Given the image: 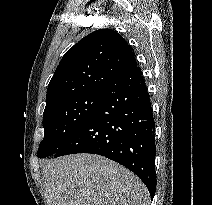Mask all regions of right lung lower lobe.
I'll return each mask as SVG.
<instances>
[{
    "label": "right lung lower lobe",
    "instance_id": "98d812e1",
    "mask_svg": "<svg viewBox=\"0 0 212 205\" xmlns=\"http://www.w3.org/2000/svg\"><path fill=\"white\" fill-rule=\"evenodd\" d=\"M155 123L141 68L127 70L102 90L96 108L54 154L93 153L134 172L153 199L156 190Z\"/></svg>",
    "mask_w": 212,
    "mask_h": 205
}]
</instances>
